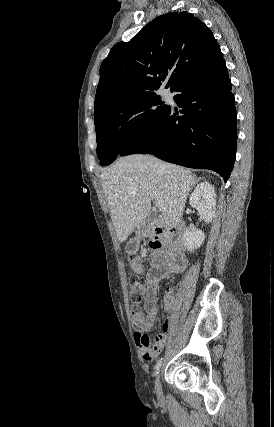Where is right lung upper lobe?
I'll return each mask as SVG.
<instances>
[{
	"label": "right lung upper lobe",
	"mask_w": 274,
	"mask_h": 427,
	"mask_svg": "<svg viewBox=\"0 0 274 427\" xmlns=\"http://www.w3.org/2000/svg\"><path fill=\"white\" fill-rule=\"evenodd\" d=\"M225 64L212 31L187 12L155 18L129 42L113 46L100 67L94 116L138 95L155 94L165 78L173 92L196 75Z\"/></svg>",
	"instance_id": "right-lung-upper-lobe-1"
}]
</instances>
